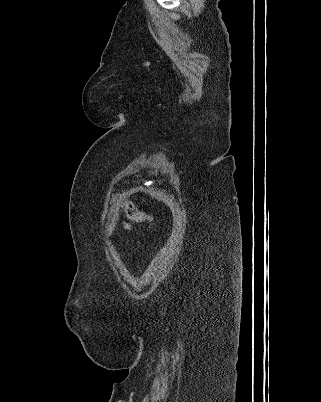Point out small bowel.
I'll list each match as a JSON object with an SVG mask.
<instances>
[{
  "label": "small bowel",
  "instance_id": "small-bowel-1",
  "mask_svg": "<svg viewBox=\"0 0 321 402\" xmlns=\"http://www.w3.org/2000/svg\"><path fill=\"white\" fill-rule=\"evenodd\" d=\"M123 228L129 229V226L127 224H123Z\"/></svg>",
  "mask_w": 321,
  "mask_h": 402
}]
</instances>
